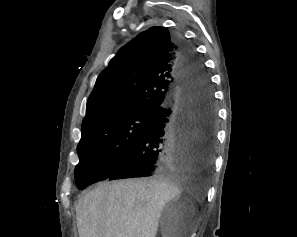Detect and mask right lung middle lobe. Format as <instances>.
Returning <instances> with one entry per match:
<instances>
[{"instance_id": "1", "label": "right lung middle lobe", "mask_w": 297, "mask_h": 237, "mask_svg": "<svg viewBox=\"0 0 297 237\" xmlns=\"http://www.w3.org/2000/svg\"><path fill=\"white\" fill-rule=\"evenodd\" d=\"M154 112H135L95 122L81 131L77 151L80 158L75 180L80 189L94 183L143 135Z\"/></svg>"}]
</instances>
